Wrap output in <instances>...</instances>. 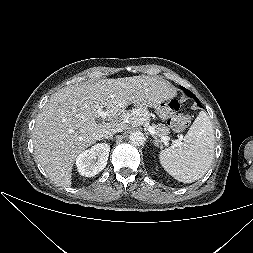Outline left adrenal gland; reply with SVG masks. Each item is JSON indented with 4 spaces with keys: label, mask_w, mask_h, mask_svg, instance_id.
Wrapping results in <instances>:
<instances>
[{
    "label": "left adrenal gland",
    "mask_w": 253,
    "mask_h": 253,
    "mask_svg": "<svg viewBox=\"0 0 253 253\" xmlns=\"http://www.w3.org/2000/svg\"><path fill=\"white\" fill-rule=\"evenodd\" d=\"M154 137V144L156 145V146H159V140H158V138L156 137V136H153Z\"/></svg>",
    "instance_id": "1"
}]
</instances>
